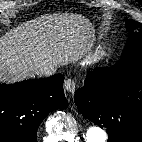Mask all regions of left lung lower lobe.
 <instances>
[{"instance_id": "0a47b994", "label": "left lung lower lobe", "mask_w": 142, "mask_h": 142, "mask_svg": "<svg viewBox=\"0 0 142 142\" xmlns=\"http://www.w3.org/2000/svg\"><path fill=\"white\" fill-rule=\"evenodd\" d=\"M75 104L84 117L107 128L108 142H137L142 137V65L89 72L75 92Z\"/></svg>"}]
</instances>
